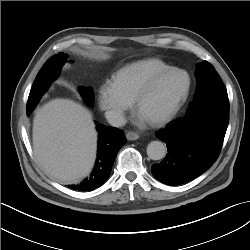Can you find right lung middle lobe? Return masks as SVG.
Segmentation results:
<instances>
[{
	"label": "right lung middle lobe",
	"instance_id": "1",
	"mask_svg": "<svg viewBox=\"0 0 250 250\" xmlns=\"http://www.w3.org/2000/svg\"><path fill=\"white\" fill-rule=\"evenodd\" d=\"M67 58V54L60 53L57 56H53L44 64L31 88L26 108L27 114L34 109L51 82L59 76L63 65L67 62ZM80 92L86 102L92 106L94 103L93 89L91 87H81Z\"/></svg>",
	"mask_w": 250,
	"mask_h": 250
}]
</instances>
